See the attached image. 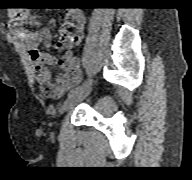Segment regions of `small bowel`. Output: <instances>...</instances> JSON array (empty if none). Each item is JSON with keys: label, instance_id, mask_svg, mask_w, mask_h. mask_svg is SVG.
<instances>
[{"label": "small bowel", "instance_id": "small-bowel-1", "mask_svg": "<svg viewBox=\"0 0 192 180\" xmlns=\"http://www.w3.org/2000/svg\"><path fill=\"white\" fill-rule=\"evenodd\" d=\"M15 15L16 23L21 25L18 34L26 44L34 62V72L41 90L50 98H61L68 90L77 86L82 79L80 58L67 53L64 57L56 59L50 54L41 52L40 45L47 48L52 45L50 30L46 27L36 31L24 28L22 25L35 26L38 24L37 17L29 9H19ZM67 17L71 23L62 30L58 48L70 51L84 37L86 16L80 9H69ZM54 64H58L62 70L56 80H53L50 72V66Z\"/></svg>", "mask_w": 192, "mask_h": 180}]
</instances>
